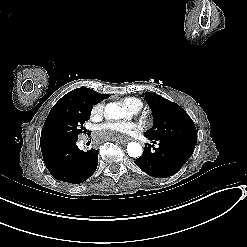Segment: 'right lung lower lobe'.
<instances>
[{
	"instance_id": "98d812e1",
	"label": "right lung lower lobe",
	"mask_w": 247,
	"mask_h": 247,
	"mask_svg": "<svg viewBox=\"0 0 247 247\" xmlns=\"http://www.w3.org/2000/svg\"><path fill=\"white\" fill-rule=\"evenodd\" d=\"M77 141L41 148L45 166L59 181L79 184L86 181L98 164V150L78 149Z\"/></svg>"
}]
</instances>
